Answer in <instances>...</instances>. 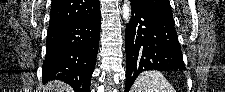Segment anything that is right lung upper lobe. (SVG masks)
<instances>
[{"label": "right lung upper lobe", "instance_id": "1", "mask_svg": "<svg viewBox=\"0 0 225 92\" xmlns=\"http://www.w3.org/2000/svg\"><path fill=\"white\" fill-rule=\"evenodd\" d=\"M100 12L99 0H52L48 29H55Z\"/></svg>", "mask_w": 225, "mask_h": 92}]
</instances>
